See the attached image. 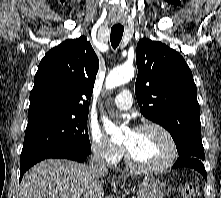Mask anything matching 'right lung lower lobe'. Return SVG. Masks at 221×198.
Returning a JSON list of instances; mask_svg holds the SVG:
<instances>
[{
    "label": "right lung lower lobe",
    "instance_id": "98d812e1",
    "mask_svg": "<svg viewBox=\"0 0 221 198\" xmlns=\"http://www.w3.org/2000/svg\"><path fill=\"white\" fill-rule=\"evenodd\" d=\"M89 154L68 148H50L20 162V180L23 174L34 164L47 158H64L78 162L84 161Z\"/></svg>",
    "mask_w": 221,
    "mask_h": 198
}]
</instances>
